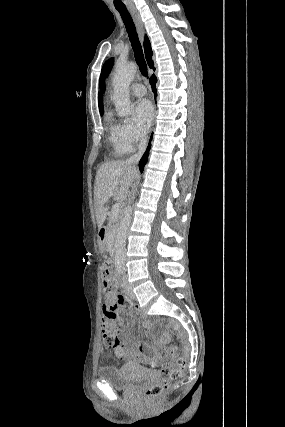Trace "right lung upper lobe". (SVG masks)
Returning <instances> with one entry per match:
<instances>
[{
	"mask_svg": "<svg viewBox=\"0 0 285 427\" xmlns=\"http://www.w3.org/2000/svg\"><path fill=\"white\" fill-rule=\"evenodd\" d=\"M144 49H145V55H146V59H147L148 65L150 66V68H152L153 70H155L154 64H153V61H152L151 45H150L149 39L147 37H145V40H144ZM98 102H99L100 114L102 115V113H103V103H102V96L100 94H99V97H98Z\"/></svg>",
	"mask_w": 285,
	"mask_h": 427,
	"instance_id": "right-lung-upper-lobe-1",
	"label": "right lung upper lobe"
}]
</instances>
